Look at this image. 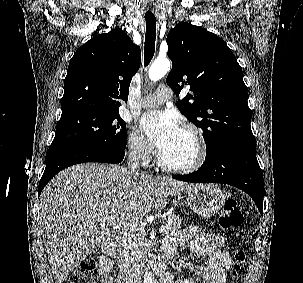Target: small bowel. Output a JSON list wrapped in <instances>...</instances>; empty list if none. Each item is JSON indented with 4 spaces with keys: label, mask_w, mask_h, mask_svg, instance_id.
<instances>
[{
    "label": "small bowel",
    "mask_w": 303,
    "mask_h": 283,
    "mask_svg": "<svg viewBox=\"0 0 303 283\" xmlns=\"http://www.w3.org/2000/svg\"><path fill=\"white\" fill-rule=\"evenodd\" d=\"M187 243H190L191 250L196 255L208 259L196 265L199 278L176 280L172 273H168L163 277L162 283H229L226 270L232 267V259L224 248L222 236L203 233L195 226H188L165 241V257L172 258L177 248ZM112 269V261L106 256L100 257L98 268L100 283H113L110 275Z\"/></svg>",
    "instance_id": "small-bowel-1"
}]
</instances>
